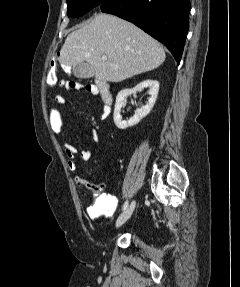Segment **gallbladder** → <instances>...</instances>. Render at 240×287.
<instances>
[{
	"label": "gallbladder",
	"mask_w": 240,
	"mask_h": 287,
	"mask_svg": "<svg viewBox=\"0 0 240 287\" xmlns=\"http://www.w3.org/2000/svg\"><path fill=\"white\" fill-rule=\"evenodd\" d=\"M75 77L80 79L92 78L94 76V69L87 63H79L72 68Z\"/></svg>",
	"instance_id": "1"
}]
</instances>
